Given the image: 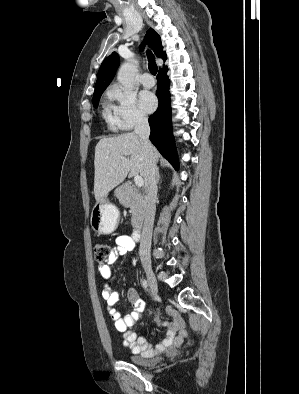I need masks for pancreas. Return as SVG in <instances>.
Segmentation results:
<instances>
[{"instance_id": "cf45deb5", "label": "pancreas", "mask_w": 299, "mask_h": 394, "mask_svg": "<svg viewBox=\"0 0 299 394\" xmlns=\"http://www.w3.org/2000/svg\"><path fill=\"white\" fill-rule=\"evenodd\" d=\"M117 195H121L124 199L123 204L131 209V223L133 228H138L144 217V198L134 186L129 183L123 184L117 191Z\"/></svg>"}]
</instances>
